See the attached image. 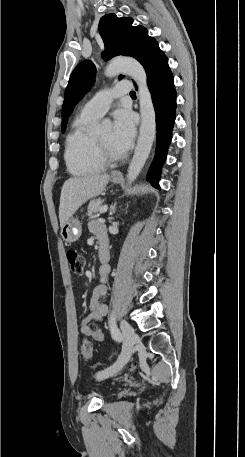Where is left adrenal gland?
<instances>
[{
    "mask_svg": "<svg viewBox=\"0 0 245 457\" xmlns=\"http://www.w3.org/2000/svg\"><path fill=\"white\" fill-rule=\"evenodd\" d=\"M115 204H117V202H115ZM115 204H113V206H111V210H110V214H113V212H115ZM111 216H109V220H110Z\"/></svg>",
    "mask_w": 245,
    "mask_h": 457,
    "instance_id": "a2214340",
    "label": "left adrenal gland"
}]
</instances>
